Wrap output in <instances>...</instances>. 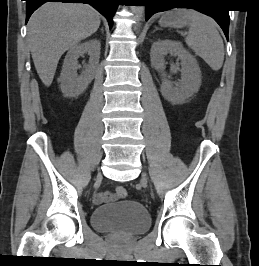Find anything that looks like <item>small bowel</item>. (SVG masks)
I'll return each mask as SVG.
<instances>
[{"instance_id":"c3829d8e","label":"small bowel","mask_w":259,"mask_h":266,"mask_svg":"<svg viewBox=\"0 0 259 266\" xmlns=\"http://www.w3.org/2000/svg\"><path fill=\"white\" fill-rule=\"evenodd\" d=\"M116 196L110 192H99L94 196V202L96 204H103L105 202L114 201Z\"/></svg>"}]
</instances>
